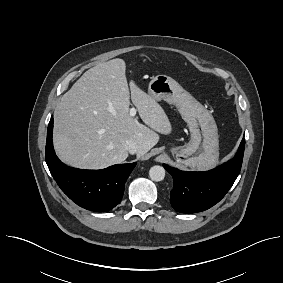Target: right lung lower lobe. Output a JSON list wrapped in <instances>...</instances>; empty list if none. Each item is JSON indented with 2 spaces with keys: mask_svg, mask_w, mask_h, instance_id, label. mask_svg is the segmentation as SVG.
<instances>
[{
  "mask_svg": "<svg viewBox=\"0 0 283 283\" xmlns=\"http://www.w3.org/2000/svg\"><path fill=\"white\" fill-rule=\"evenodd\" d=\"M53 117L48 130L45 158L61 190L77 205L96 212L114 208L122 199L125 182L136 163L116 164L102 170H82L63 164L52 143Z\"/></svg>",
  "mask_w": 283,
  "mask_h": 283,
  "instance_id": "right-lung-lower-lobe-1",
  "label": "right lung lower lobe"
}]
</instances>
